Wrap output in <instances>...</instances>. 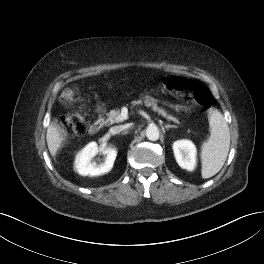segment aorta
Returning <instances> with one entry per match:
<instances>
[{
  "instance_id": "762f6f07",
  "label": "aorta",
  "mask_w": 264,
  "mask_h": 264,
  "mask_svg": "<svg viewBox=\"0 0 264 264\" xmlns=\"http://www.w3.org/2000/svg\"><path fill=\"white\" fill-rule=\"evenodd\" d=\"M146 136L151 141H156L159 139V129L156 125L151 124L146 129Z\"/></svg>"
}]
</instances>
